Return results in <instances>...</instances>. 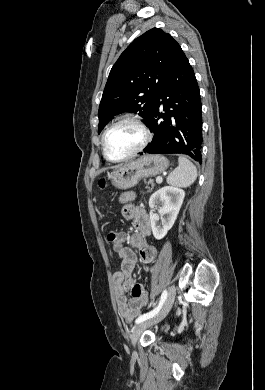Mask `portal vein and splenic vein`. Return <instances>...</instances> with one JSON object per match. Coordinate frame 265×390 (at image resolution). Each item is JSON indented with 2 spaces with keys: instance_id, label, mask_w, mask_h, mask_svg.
I'll return each mask as SVG.
<instances>
[{
  "instance_id": "portal-vein-and-splenic-vein-1",
  "label": "portal vein and splenic vein",
  "mask_w": 265,
  "mask_h": 390,
  "mask_svg": "<svg viewBox=\"0 0 265 390\" xmlns=\"http://www.w3.org/2000/svg\"><path fill=\"white\" fill-rule=\"evenodd\" d=\"M156 182H157V183H161V182H162V177H157V178H156Z\"/></svg>"
}]
</instances>
